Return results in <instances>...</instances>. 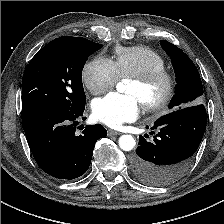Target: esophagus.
Returning a JSON list of instances; mask_svg holds the SVG:
<instances>
[{
	"label": "esophagus",
	"mask_w": 224,
	"mask_h": 224,
	"mask_svg": "<svg viewBox=\"0 0 224 224\" xmlns=\"http://www.w3.org/2000/svg\"><path fill=\"white\" fill-rule=\"evenodd\" d=\"M120 132L114 131V130H108V136H115L120 135Z\"/></svg>",
	"instance_id": "esophagus-1"
}]
</instances>
